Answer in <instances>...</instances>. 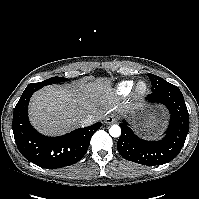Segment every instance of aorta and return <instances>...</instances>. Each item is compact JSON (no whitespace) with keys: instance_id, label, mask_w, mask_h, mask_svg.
<instances>
[{"instance_id":"obj_1","label":"aorta","mask_w":199,"mask_h":199,"mask_svg":"<svg viewBox=\"0 0 199 199\" xmlns=\"http://www.w3.org/2000/svg\"><path fill=\"white\" fill-rule=\"evenodd\" d=\"M109 134L112 137H119L121 135V128L118 125H112L109 129Z\"/></svg>"}]
</instances>
